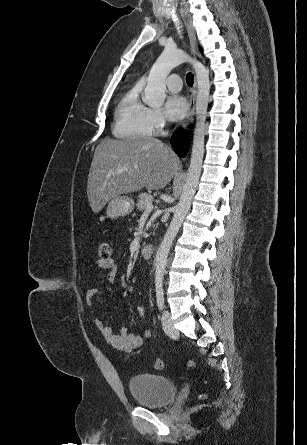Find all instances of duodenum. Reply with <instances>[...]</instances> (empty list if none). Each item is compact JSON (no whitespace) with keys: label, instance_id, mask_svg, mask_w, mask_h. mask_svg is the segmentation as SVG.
<instances>
[{"label":"duodenum","instance_id":"1","mask_svg":"<svg viewBox=\"0 0 307 445\" xmlns=\"http://www.w3.org/2000/svg\"><path fill=\"white\" fill-rule=\"evenodd\" d=\"M153 251H154V245L152 243H146L141 248V253L145 258L151 257Z\"/></svg>","mask_w":307,"mask_h":445}]
</instances>
